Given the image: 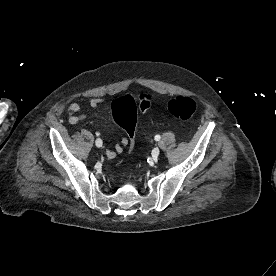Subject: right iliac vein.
Segmentation results:
<instances>
[{"mask_svg":"<svg viewBox=\"0 0 276 276\" xmlns=\"http://www.w3.org/2000/svg\"><path fill=\"white\" fill-rule=\"evenodd\" d=\"M101 141H102V140L99 139V138L96 139V141H95L96 146L99 147V148L102 146V145H101Z\"/></svg>","mask_w":276,"mask_h":276,"instance_id":"63e3f726","label":"right iliac vein"}]
</instances>
